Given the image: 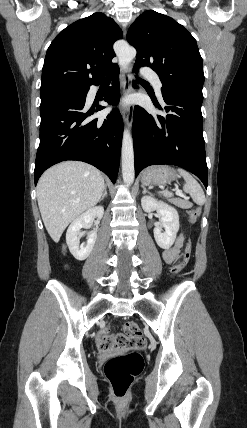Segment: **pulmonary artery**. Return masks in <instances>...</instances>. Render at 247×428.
I'll return each mask as SVG.
<instances>
[{
    "mask_svg": "<svg viewBox=\"0 0 247 428\" xmlns=\"http://www.w3.org/2000/svg\"><path fill=\"white\" fill-rule=\"evenodd\" d=\"M141 73L144 77L150 79L154 83L157 93L161 94L162 83L157 75L149 68H143Z\"/></svg>",
    "mask_w": 247,
    "mask_h": 428,
    "instance_id": "obj_1",
    "label": "pulmonary artery"
}]
</instances>
